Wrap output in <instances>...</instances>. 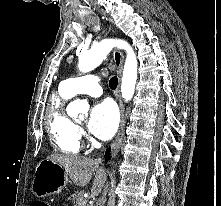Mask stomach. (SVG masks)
Wrapping results in <instances>:
<instances>
[{"mask_svg": "<svg viewBox=\"0 0 221 206\" xmlns=\"http://www.w3.org/2000/svg\"><path fill=\"white\" fill-rule=\"evenodd\" d=\"M68 182V175L63 166L44 159L35 169L32 191L36 197H44L61 192Z\"/></svg>", "mask_w": 221, "mask_h": 206, "instance_id": "0dacf381", "label": "stomach"}]
</instances>
